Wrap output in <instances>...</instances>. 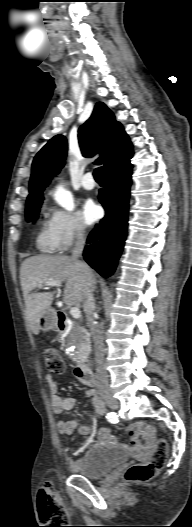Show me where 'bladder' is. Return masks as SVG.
I'll return each instance as SVG.
<instances>
[{"label":"bladder","instance_id":"bladder-1","mask_svg":"<svg viewBox=\"0 0 192 527\" xmlns=\"http://www.w3.org/2000/svg\"><path fill=\"white\" fill-rule=\"evenodd\" d=\"M126 458L125 451L120 447L94 445L75 461V472L88 479H99L112 472Z\"/></svg>","mask_w":192,"mask_h":527}]
</instances>
